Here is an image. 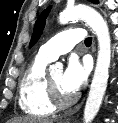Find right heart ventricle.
Masks as SVG:
<instances>
[{
    "label": "right heart ventricle",
    "instance_id": "e07e8e85",
    "mask_svg": "<svg viewBox=\"0 0 118 123\" xmlns=\"http://www.w3.org/2000/svg\"><path fill=\"white\" fill-rule=\"evenodd\" d=\"M49 62V59L38 54L21 78L18 103L28 115L46 117L55 111L47 94L46 66Z\"/></svg>",
    "mask_w": 118,
    "mask_h": 123
}]
</instances>
